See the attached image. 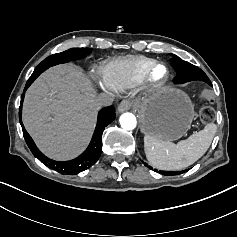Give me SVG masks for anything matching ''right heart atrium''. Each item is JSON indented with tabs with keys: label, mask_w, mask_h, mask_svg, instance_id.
I'll use <instances>...</instances> for the list:
<instances>
[{
	"label": "right heart atrium",
	"mask_w": 237,
	"mask_h": 237,
	"mask_svg": "<svg viewBox=\"0 0 237 237\" xmlns=\"http://www.w3.org/2000/svg\"><path fill=\"white\" fill-rule=\"evenodd\" d=\"M92 79L94 83L103 90L113 91L112 84L99 72L92 74Z\"/></svg>",
	"instance_id": "d8ad5b80"
}]
</instances>
